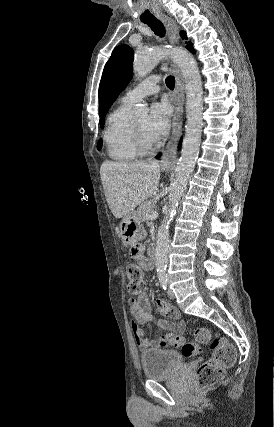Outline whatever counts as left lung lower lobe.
Wrapping results in <instances>:
<instances>
[{"instance_id": "obj_1", "label": "left lung lower lobe", "mask_w": 274, "mask_h": 427, "mask_svg": "<svg viewBox=\"0 0 274 427\" xmlns=\"http://www.w3.org/2000/svg\"><path fill=\"white\" fill-rule=\"evenodd\" d=\"M190 51L194 53V49H193V48H192ZM158 157H159V156H157V158H158Z\"/></svg>"}]
</instances>
